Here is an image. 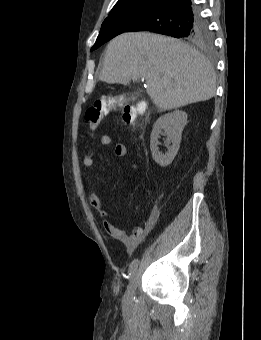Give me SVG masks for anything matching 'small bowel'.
<instances>
[{
	"mask_svg": "<svg viewBox=\"0 0 261 340\" xmlns=\"http://www.w3.org/2000/svg\"><path fill=\"white\" fill-rule=\"evenodd\" d=\"M100 144L102 146H109L111 144V138L108 135H103L100 138ZM113 153L117 158H123L127 154V148L125 145L118 143L115 145ZM82 163L85 167H92L94 165V153L89 151L82 159ZM89 202L91 206L101 215L102 226L104 230L115 240L121 242L126 250L131 253L140 244L143 238L153 229L157 215L155 212H151L148 219L143 226L136 227L131 234H128L125 230L114 226L108 217V213L105 210L101 198L93 191L87 192Z\"/></svg>",
	"mask_w": 261,
	"mask_h": 340,
	"instance_id": "c3829d8e",
	"label": "small bowel"
}]
</instances>
